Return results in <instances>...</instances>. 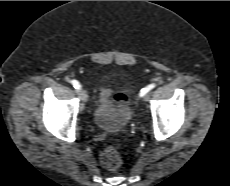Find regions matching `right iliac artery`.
Returning a JSON list of instances; mask_svg holds the SVG:
<instances>
[{
  "mask_svg": "<svg viewBox=\"0 0 230 186\" xmlns=\"http://www.w3.org/2000/svg\"><path fill=\"white\" fill-rule=\"evenodd\" d=\"M71 83H72V85H73L74 88L80 89L81 85L79 84L78 81L72 80Z\"/></svg>",
  "mask_w": 230,
  "mask_h": 186,
  "instance_id": "82829eb1",
  "label": "right iliac artery"
}]
</instances>
